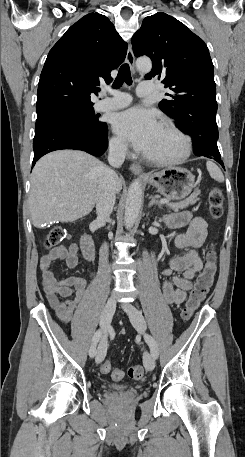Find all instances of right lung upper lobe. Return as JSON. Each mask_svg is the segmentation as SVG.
<instances>
[{"label": "right lung upper lobe", "mask_w": 245, "mask_h": 457, "mask_svg": "<svg viewBox=\"0 0 245 457\" xmlns=\"http://www.w3.org/2000/svg\"><path fill=\"white\" fill-rule=\"evenodd\" d=\"M127 43L110 20L90 13L72 25L50 50L41 72L37 112L71 100H90L100 81H112L110 71L125 59Z\"/></svg>", "instance_id": "obj_1"}]
</instances>
